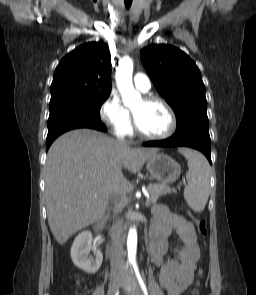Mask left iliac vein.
Here are the masks:
<instances>
[{"instance_id": "1", "label": "left iliac vein", "mask_w": 256, "mask_h": 295, "mask_svg": "<svg viewBox=\"0 0 256 295\" xmlns=\"http://www.w3.org/2000/svg\"><path fill=\"white\" fill-rule=\"evenodd\" d=\"M121 285L132 288L134 295H144L131 269H127L123 274Z\"/></svg>"}]
</instances>
